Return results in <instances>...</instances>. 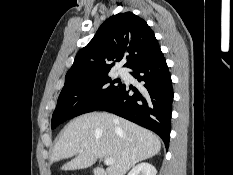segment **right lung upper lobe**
<instances>
[{
  "label": "right lung upper lobe",
  "mask_w": 233,
  "mask_h": 175,
  "mask_svg": "<svg viewBox=\"0 0 233 175\" xmlns=\"http://www.w3.org/2000/svg\"><path fill=\"white\" fill-rule=\"evenodd\" d=\"M160 52L153 31L142 18L132 12L118 13L108 18L78 52L65 81L108 73L122 58L128 60L124 66L132 69Z\"/></svg>",
  "instance_id": "right-lung-upper-lobe-1"
}]
</instances>
